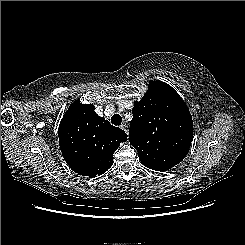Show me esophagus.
Wrapping results in <instances>:
<instances>
[{"instance_id":"34e87169","label":"esophagus","mask_w":245,"mask_h":245,"mask_svg":"<svg viewBox=\"0 0 245 245\" xmlns=\"http://www.w3.org/2000/svg\"><path fill=\"white\" fill-rule=\"evenodd\" d=\"M120 128L122 129V130H124L126 133L128 132V128H127V125L126 124H121L120 125Z\"/></svg>"}]
</instances>
